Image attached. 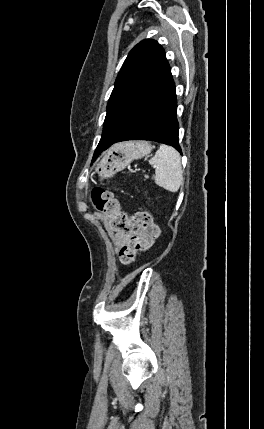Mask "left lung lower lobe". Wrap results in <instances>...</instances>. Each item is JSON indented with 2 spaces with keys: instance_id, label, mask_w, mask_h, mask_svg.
I'll return each mask as SVG.
<instances>
[{
  "instance_id": "1",
  "label": "left lung lower lobe",
  "mask_w": 264,
  "mask_h": 429,
  "mask_svg": "<svg viewBox=\"0 0 264 429\" xmlns=\"http://www.w3.org/2000/svg\"><path fill=\"white\" fill-rule=\"evenodd\" d=\"M176 112L175 84L168 65L161 80L140 102L125 130L114 143L126 140H151L171 145L181 153ZM107 148L108 146L97 149L93 159Z\"/></svg>"
}]
</instances>
